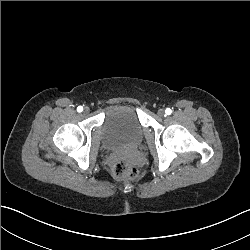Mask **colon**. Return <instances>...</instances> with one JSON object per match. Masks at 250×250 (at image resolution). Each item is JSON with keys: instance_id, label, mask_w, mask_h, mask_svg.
I'll return each mask as SVG.
<instances>
[{"instance_id": "obj_1", "label": "colon", "mask_w": 250, "mask_h": 250, "mask_svg": "<svg viewBox=\"0 0 250 250\" xmlns=\"http://www.w3.org/2000/svg\"><path fill=\"white\" fill-rule=\"evenodd\" d=\"M111 174L122 183H131L138 176V169L126 159H117L111 165Z\"/></svg>"}]
</instances>
